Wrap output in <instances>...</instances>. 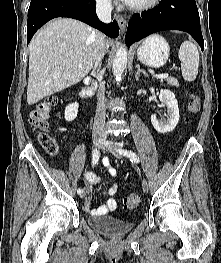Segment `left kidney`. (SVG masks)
Instances as JSON below:
<instances>
[{
    "mask_svg": "<svg viewBox=\"0 0 221 263\" xmlns=\"http://www.w3.org/2000/svg\"><path fill=\"white\" fill-rule=\"evenodd\" d=\"M159 99L167 106L168 119L165 121L158 120L156 115H151V123L155 130L159 133H167L172 131L179 121V108L178 102L173 92L170 90H160Z\"/></svg>",
    "mask_w": 221,
    "mask_h": 263,
    "instance_id": "1",
    "label": "left kidney"
}]
</instances>
